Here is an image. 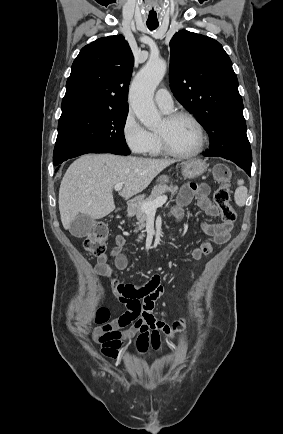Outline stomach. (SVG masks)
Returning <instances> with one entry per match:
<instances>
[{
    "label": "stomach",
    "mask_w": 283,
    "mask_h": 434,
    "mask_svg": "<svg viewBox=\"0 0 283 434\" xmlns=\"http://www.w3.org/2000/svg\"><path fill=\"white\" fill-rule=\"evenodd\" d=\"M208 165L199 159H192V160H188L182 163L181 165V172L182 175L185 179H194L200 175H202L206 169H207ZM169 181V178L166 175H162L159 177L158 182L160 183V185L165 184ZM143 196H138L135 201L137 203L142 202Z\"/></svg>",
    "instance_id": "stomach-1"
}]
</instances>
